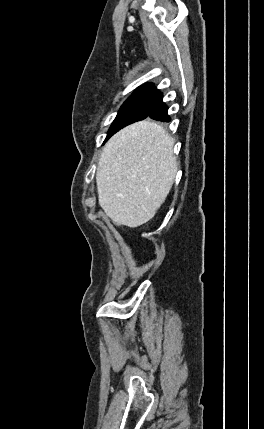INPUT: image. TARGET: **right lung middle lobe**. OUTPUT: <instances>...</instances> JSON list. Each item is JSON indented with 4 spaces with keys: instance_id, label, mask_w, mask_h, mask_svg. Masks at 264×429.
<instances>
[{
    "instance_id": "1",
    "label": "right lung middle lobe",
    "mask_w": 264,
    "mask_h": 429,
    "mask_svg": "<svg viewBox=\"0 0 264 429\" xmlns=\"http://www.w3.org/2000/svg\"><path fill=\"white\" fill-rule=\"evenodd\" d=\"M161 93L155 88H140L125 101L113 121L106 140L121 128L147 117Z\"/></svg>"
}]
</instances>
